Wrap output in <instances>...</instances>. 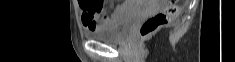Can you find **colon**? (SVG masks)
Here are the masks:
<instances>
[{
	"instance_id": "5ec220e1",
	"label": "colon",
	"mask_w": 235,
	"mask_h": 62,
	"mask_svg": "<svg viewBox=\"0 0 235 62\" xmlns=\"http://www.w3.org/2000/svg\"><path fill=\"white\" fill-rule=\"evenodd\" d=\"M94 10H100L101 6L96 2L91 3ZM181 8L175 0H169V5L161 12L146 19L140 26L139 33L142 38H146L155 33L160 28L170 24L180 13Z\"/></svg>"
}]
</instances>
